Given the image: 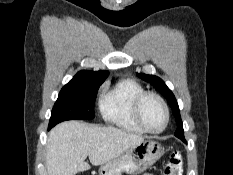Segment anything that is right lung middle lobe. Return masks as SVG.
Returning a JSON list of instances; mask_svg holds the SVG:
<instances>
[{
  "label": "right lung middle lobe",
  "instance_id": "right-lung-middle-lobe-1",
  "mask_svg": "<svg viewBox=\"0 0 233 175\" xmlns=\"http://www.w3.org/2000/svg\"><path fill=\"white\" fill-rule=\"evenodd\" d=\"M104 80H90L65 85L53 107L49 127L73 119H93L94 102Z\"/></svg>",
  "mask_w": 233,
  "mask_h": 175
}]
</instances>
